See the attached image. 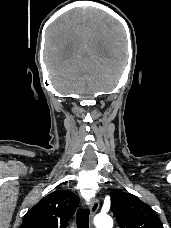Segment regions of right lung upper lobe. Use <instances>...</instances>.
I'll return each instance as SVG.
<instances>
[{"label": "right lung upper lobe", "mask_w": 171, "mask_h": 228, "mask_svg": "<svg viewBox=\"0 0 171 228\" xmlns=\"http://www.w3.org/2000/svg\"><path fill=\"white\" fill-rule=\"evenodd\" d=\"M78 204L73 192L50 193L28 211L20 228H65Z\"/></svg>", "instance_id": "1"}]
</instances>
